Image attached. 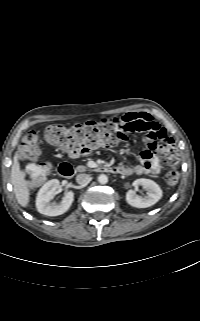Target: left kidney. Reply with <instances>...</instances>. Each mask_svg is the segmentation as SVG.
Wrapping results in <instances>:
<instances>
[{"instance_id": "5707ae66", "label": "left kidney", "mask_w": 200, "mask_h": 321, "mask_svg": "<svg viewBox=\"0 0 200 321\" xmlns=\"http://www.w3.org/2000/svg\"><path fill=\"white\" fill-rule=\"evenodd\" d=\"M133 186H143L147 190L146 196L142 197L129 190L126 193V201L136 208H147L157 203L162 197V190L159 185L150 179L140 178L133 182Z\"/></svg>"}]
</instances>
